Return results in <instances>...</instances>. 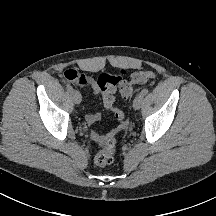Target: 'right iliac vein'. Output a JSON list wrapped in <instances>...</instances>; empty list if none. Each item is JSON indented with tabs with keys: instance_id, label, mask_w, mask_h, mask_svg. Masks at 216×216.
Returning a JSON list of instances; mask_svg holds the SVG:
<instances>
[{
	"instance_id": "obj_1",
	"label": "right iliac vein",
	"mask_w": 216,
	"mask_h": 216,
	"mask_svg": "<svg viewBox=\"0 0 216 216\" xmlns=\"http://www.w3.org/2000/svg\"><path fill=\"white\" fill-rule=\"evenodd\" d=\"M71 97H72L74 103H76V104H79L82 101L81 94L78 91H72Z\"/></svg>"
}]
</instances>
